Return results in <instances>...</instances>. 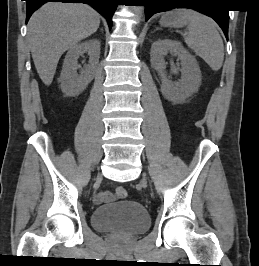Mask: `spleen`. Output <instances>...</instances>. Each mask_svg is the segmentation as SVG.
I'll return each instance as SVG.
<instances>
[{
  "mask_svg": "<svg viewBox=\"0 0 259 266\" xmlns=\"http://www.w3.org/2000/svg\"><path fill=\"white\" fill-rule=\"evenodd\" d=\"M180 14L188 21L185 43L213 71H218L224 60V45L215 22L194 10L182 9Z\"/></svg>",
  "mask_w": 259,
  "mask_h": 266,
  "instance_id": "1",
  "label": "spleen"
}]
</instances>
